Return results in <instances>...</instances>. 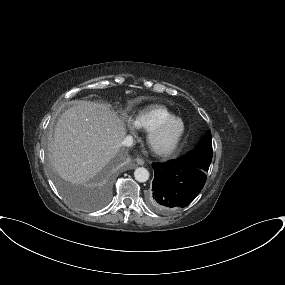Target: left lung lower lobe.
<instances>
[{"label": "left lung lower lobe", "mask_w": 285, "mask_h": 285, "mask_svg": "<svg viewBox=\"0 0 285 285\" xmlns=\"http://www.w3.org/2000/svg\"><path fill=\"white\" fill-rule=\"evenodd\" d=\"M155 177L148 196L151 207L160 213H171L186 207L202 190L206 171L177 159L152 165Z\"/></svg>", "instance_id": "left-lung-lower-lobe-1"}]
</instances>
